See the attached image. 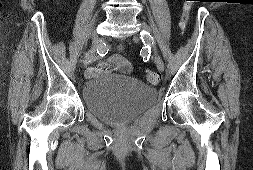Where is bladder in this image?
<instances>
[{"mask_svg":"<svg viewBox=\"0 0 253 170\" xmlns=\"http://www.w3.org/2000/svg\"><path fill=\"white\" fill-rule=\"evenodd\" d=\"M81 91L87 109L101 121L113 125L132 122L157 99L155 87L109 72L88 79Z\"/></svg>","mask_w":253,"mask_h":170,"instance_id":"bladder-1","label":"bladder"}]
</instances>
